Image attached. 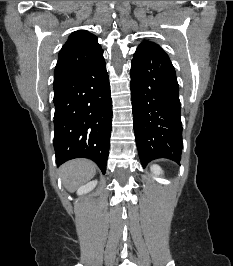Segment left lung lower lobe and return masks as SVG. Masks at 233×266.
<instances>
[{
  "label": "left lung lower lobe",
  "instance_id": "1",
  "mask_svg": "<svg viewBox=\"0 0 233 266\" xmlns=\"http://www.w3.org/2000/svg\"><path fill=\"white\" fill-rule=\"evenodd\" d=\"M134 131L142 166L182 152L179 86L168 55L158 45H140L131 62Z\"/></svg>",
  "mask_w": 233,
  "mask_h": 266
}]
</instances>
